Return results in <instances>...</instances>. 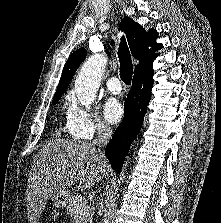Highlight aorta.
Instances as JSON below:
<instances>
[{
    "mask_svg": "<svg viewBox=\"0 0 221 223\" xmlns=\"http://www.w3.org/2000/svg\"><path fill=\"white\" fill-rule=\"evenodd\" d=\"M106 62L107 60L104 55L95 54L84 62L76 77L75 93L79 103L87 110L90 109L96 98ZM126 166L127 164H125V167ZM124 177V172H122L119 183L123 181Z\"/></svg>",
    "mask_w": 221,
    "mask_h": 223,
    "instance_id": "aorta-1",
    "label": "aorta"
}]
</instances>
